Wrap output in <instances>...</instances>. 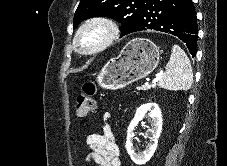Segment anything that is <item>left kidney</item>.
Wrapping results in <instances>:
<instances>
[{"label": "left kidney", "mask_w": 227, "mask_h": 166, "mask_svg": "<svg viewBox=\"0 0 227 166\" xmlns=\"http://www.w3.org/2000/svg\"><path fill=\"white\" fill-rule=\"evenodd\" d=\"M148 114L152 119V128L150 130V142L146 146L145 150L140 153L135 152V147L133 145V138L135 136L134 130L138 123L143 120L144 116ZM162 114L160 107L157 103H146L141 105L131 121L128 130H127V141H126V150L131 157V160L137 165H143L151 159L153 156L157 145L158 138L162 131Z\"/></svg>", "instance_id": "5707ae66"}]
</instances>
